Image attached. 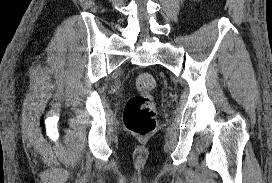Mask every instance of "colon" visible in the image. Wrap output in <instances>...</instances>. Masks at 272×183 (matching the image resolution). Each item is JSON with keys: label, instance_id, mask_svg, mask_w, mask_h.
Wrapping results in <instances>:
<instances>
[{"label": "colon", "instance_id": "1", "mask_svg": "<svg viewBox=\"0 0 272 183\" xmlns=\"http://www.w3.org/2000/svg\"><path fill=\"white\" fill-rule=\"evenodd\" d=\"M137 95L132 96L125 107L124 124L132 133L147 136L156 126V108L151 91L156 87L153 75L140 73L135 80Z\"/></svg>", "mask_w": 272, "mask_h": 183}]
</instances>
